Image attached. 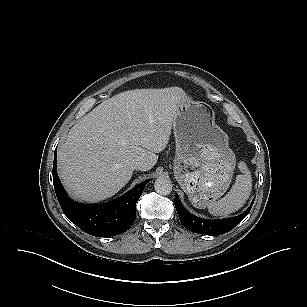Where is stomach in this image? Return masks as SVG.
Here are the masks:
<instances>
[{
    "label": "stomach",
    "instance_id": "obj_1",
    "mask_svg": "<svg viewBox=\"0 0 307 307\" xmlns=\"http://www.w3.org/2000/svg\"><path fill=\"white\" fill-rule=\"evenodd\" d=\"M173 131L175 178L195 206L205 207L220 198L232 180L236 157L228 136L215 124L211 107L186 95L179 101Z\"/></svg>",
    "mask_w": 307,
    "mask_h": 307
}]
</instances>
